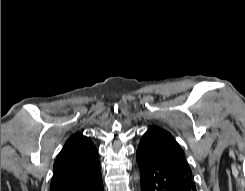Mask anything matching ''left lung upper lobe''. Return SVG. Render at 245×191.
Wrapping results in <instances>:
<instances>
[{
    "instance_id": "obj_1",
    "label": "left lung upper lobe",
    "mask_w": 245,
    "mask_h": 191,
    "mask_svg": "<svg viewBox=\"0 0 245 191\" xmlns=\"http://www.w3.org/2000/svg\"><path fill=\"white\" fill-rule=\"evenodd\" d=\"M138 151L151 160L176 169L193 179L184 151L168 131L151 127L143 135Z\"/></svg>"
}]
</instances>
